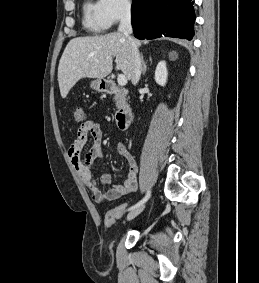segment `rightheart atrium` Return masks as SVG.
<instances>
[{"instance_id":"1","label":"right heart atrium","mask_w":259,"mask_h":283,"mask_svg":"<svg viewBox=\"0 0 259 283\" xmlns=\"http://www.w3.org/2000/svg\"><path fill=\"white\" fill-rule=\"evenodd\" d=\"M98 5L109 27L130 17L134 10L132 0H99Z\"/></svg>"}]
</instances>
